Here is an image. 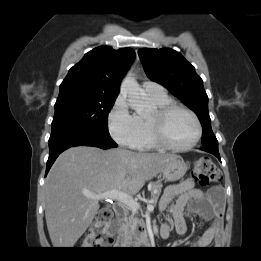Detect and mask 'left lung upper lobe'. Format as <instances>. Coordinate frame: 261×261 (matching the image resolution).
Listing matches in <instances>:
<instances>
[{
	"instance_id": "obj_1",
	"label": "left lung upper lobe",
	"mask_w": 261,
	"mask_h": 261,
	"mask_svg": "<svg viewBox=\"0 0 261 261\" xmlns=\"http://www.w3.org/2000/svg\"><path fill=\"white\" fill-rule=\"evenodd\" d=\"M138 55L147 77L166 87L196 113L203 129L202 145L218 146L211 128L208 96L195 68L179 52L169 48H142Z\"/></svg>"
}]
</instances>
